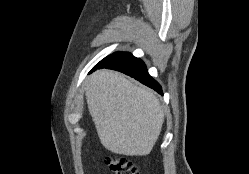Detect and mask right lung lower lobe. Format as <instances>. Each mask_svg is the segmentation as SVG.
<instances>
[{
  "mask_svg": "<svg viewBox=\"0 0 249 174\" xmlns=\"http://www.w3.org/2000/svg\"><path fill=\"white\" fill-rule=\"evenodd\" d=\"M101 68L123 72L162 94L161 86L148 74L144 62L141 59L134 57L132 54L128 53L120 60L114 62L100 61L91 72Z\"/></svg>",
  "mask_w": 249,
  "mask_h": 174,
  "instance_id": "obj_1",
  "label": "right lung lower lobe"
}]
</instances>
